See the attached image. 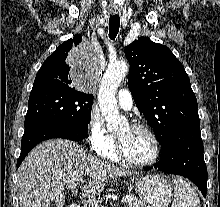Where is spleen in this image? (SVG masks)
Instances as JSON below:
<instances>
[{"mask_svg":"<svg viewBox=\"0 0 220 207\" xmlns=\"http://www.w3.org/2000/svg\"><path fill=\"white\" fill-rule=\"evenodd\" d=\"M174 191L172 207H201L197 193L184 180H174Z\"/></svg>","mask_w":220,"mask_h":207,"instance_id":"spleen-1","label":"spleen"}]
</instances>
